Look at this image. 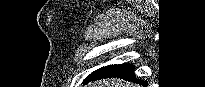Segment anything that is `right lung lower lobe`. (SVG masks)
Returning a JSON list of instances; mask_svg holds the SVG:
<instances>
[{
    "label": "right lung lower lobe",
    "instance_id": "obj_1",
    "mask_svg": "<svg viewBox=\"0 0 205 87\" xmlns=\"http://www.w3.org/2000/svg\"><path fill=\"white\" fill-rule=\"evenodd\" d=\"M118 77L124 80L136 82L147 86V82L144 80H139L134 75V66L131 64H120V65H109L102 67L94 72H92L85 80L84 84L95 81L101 78H111Z\"/></svg>",
    "mask_w": 205,
    "mask_h": 87
}]
</instances>
